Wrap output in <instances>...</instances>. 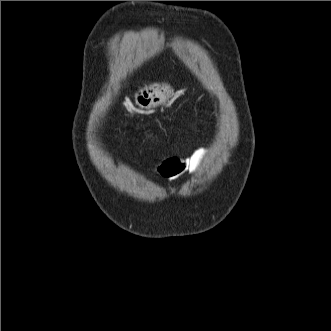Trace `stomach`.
<instances>
[{"mask_svg": "<svg viewBox=\"0 0 331 331\" xmlns=\"http://www.w3.org/2000/svg\"><path fill=\"white\" fill-rule=\"evenodd\" d=\"M172 94V89L167 84L155 83L140 88L134 95L135 103L142 109H151L164 104Z\"/></svg>", "mask_w": 331, "mask_h": 331, "instance_id": "obj_1", "label": "stomach"}]
</instances>
